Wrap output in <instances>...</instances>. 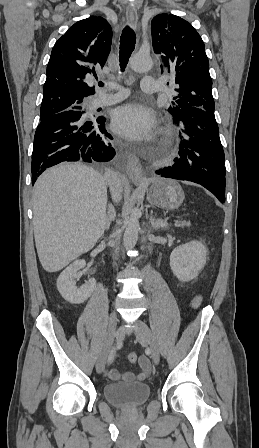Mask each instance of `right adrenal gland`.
<instances>
[{
    "mask_svg": "<svg viewBox=\"0 0 259 448\" xmlns=\"http://www.w3.org/2000/svg\"><path fill=\"white\" fill-rule=\"evenodd\" d=\"M115 220V210L112 204H108V216H107V224L105 230H109L111 222Z\"/></svg>",
    "mask_w": 259,
    "mask_h": 448,
    "instance_id": "obj_1",
    "label": "right adrenal gland"
}]
</instances>
